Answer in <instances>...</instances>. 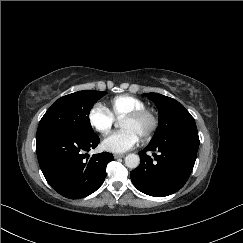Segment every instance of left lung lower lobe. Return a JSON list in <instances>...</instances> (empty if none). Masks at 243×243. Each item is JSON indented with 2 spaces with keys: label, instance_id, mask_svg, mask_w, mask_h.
<instances>
[{
  "label": "left lung lower lobe",
  "instance_id": "left-lung-lower-lobe-1",
  "mask_svg": "<svg viewBox=\"0 0 243 243\" xmlns=\"http://www.w3.org/2000/svg\"><path fill=\"white\" fill-rule=\"evenodd\" d=\"M199 147L195 124L156 141L140 151V165L130 173L134 186L141 192L164 197L177 192L188 180ZM153 152V157L150 153Z\"/></svg>",
  "mask_w": 243,
  "mask_h": 243
}]
</instances>
